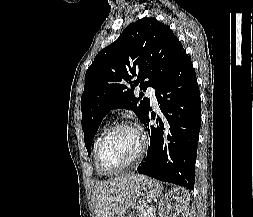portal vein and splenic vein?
I'll list each match as a JSON object with an SVG mask.
<instances>
[{
  "label": "portal vein and splenic vein",
  "instance_id": "portal-vein-and-splenic-vein-1",
  "mask_svg": "<svg viewBox=\"0 0 253 217\" xmlns=\"http://www.w3.org/2000/svg\"><path fill=\"white\" fill-rule=\"evenodd\" d=\"M148 211H155V208L154 207H150L149 209H148ZM147 213H145V215H146Z\"/></svg>",
  "mask_w": 253,
  "mask_h": 217
}]
</instances>
